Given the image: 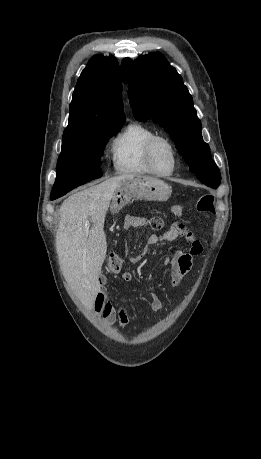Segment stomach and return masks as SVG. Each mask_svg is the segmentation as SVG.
<instances>
[{"label":"stomach","mask_w":261,"mask_h":459,"mask_svg":"<svg viewBox=\"0 0 261 459\" xmlns=\"http://www.w3.org/2000/svg\"><path fill=\"white\" fill-rule=\"evenodd\" d=\"M171 188L163 181L145 176L129 175L118 186L113 196L117 208L137 198L147 201H167L171 196Z\"/></svg>","instance_id":"stomach-1"}]
</instances>
